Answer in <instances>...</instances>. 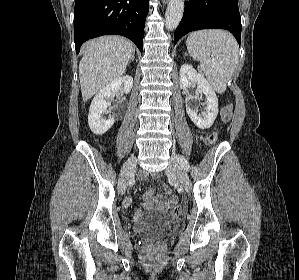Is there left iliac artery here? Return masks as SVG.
<instances>
[{
	"label": "left iliac artery",
	"instance_id": "left-iliac-artery-1",
	"mask_svg": "<svg viewBox=\"0 0 299 280\" xmlns=\"http://www.w3.org/2000/svg\"><path fill=\"white\" fill-rule=\"evenodd\" d=\"M176 160L180 163L181 167L188 171L189 163L183 156H176Z\"/></svg>",
	"mask_w": 299,
	"mask_h": 280
}]
</instances>
